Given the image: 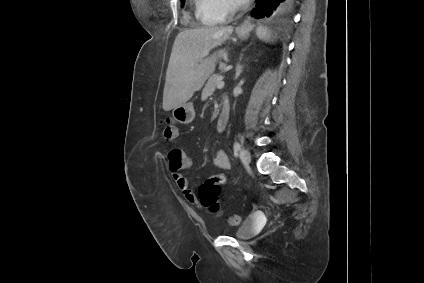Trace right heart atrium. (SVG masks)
I'll return each mask as SVG.
<instances>
[{
    "instance_id": "1",
    "label": "right heart atrium",
    "mask_w": 424,
    "mask_h": 283,
    "mask_svg": "<svg viewBox=\"0 0 424 283\" xmlns=\"http://www.w3.org/2000/svg\"><path fill=\"white\" fill-rule=\"evenodd\" d=\"M208 8L225 18L231 15L236 7L235 0H203Z\"/></svg>"
}]
</instances>
